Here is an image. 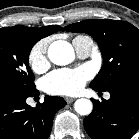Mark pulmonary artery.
Masks as SVG:
<instances>
[{
  "mask_svg": "<svg viewBox=\"0 0 139 139\" xmlns=\"http://www.w3.org/2000/svg\"><path fill=\"white\" fill-rule=\"evenodd\" d=\"M72 44L82 58L88 57L93 50V41L88 36H77L73 39ZM106 98H109V95H106Z\"/></svg>",
  "mask_w": 139,
  "mask_h": 139,
  "instance_id": "obj_1",
  "label": "pulmonary artery"
}]
</instances>
